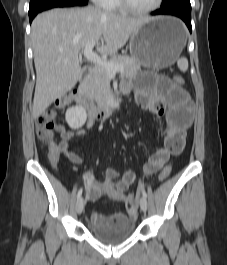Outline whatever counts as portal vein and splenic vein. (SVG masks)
<instances>
[{
    "label": "portal vein and splenic vein",
    "mask_w": 227,
    "mask_h": 265,
    "mask_svg": "<svg viewBox=\"0 0 227 265\" xmlns=\"http://www.w3.org/2000/svg\"><path fill=\"white\" fill-rule=\"evenodd\" d=\"M96 45V41H90L85 45L84 48V56L89 60L95 63L96 65H99L108 72L109 75L113 76L117 72H123L124 67L122 65H115L113 63L107 62L106 60H103L99 55L93 52V47Z\"/></svg>",
    "instance_id": "obj_1"
}]
</instances>
